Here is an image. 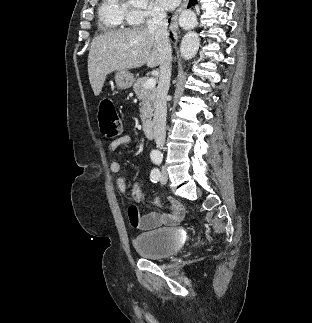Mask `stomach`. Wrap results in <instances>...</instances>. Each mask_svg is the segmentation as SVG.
Returning a JSON list of instances; mask_svg holds the SVG:
<instances>
[{
	"instance_id": "1",
	"label": "stomach",
	"mask_w": 312,
	"mask_h": 323,
	"mask_svg": "<svg viewBox=\"0 0 312 323\" xmlns=\"http://www.w3.org/2000/svg\"><path fill=\"white\" fill-rule=\"evenodd\" d=\"M115 82L120 90H127V88H131L133 82H135V78L128 70H117Z\"/></svg>"
}]
</instances>
